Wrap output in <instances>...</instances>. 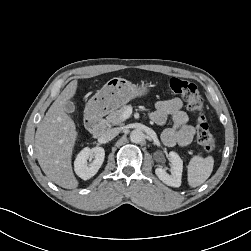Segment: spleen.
I'll list each match as a JSON object with an SVG mask.
<instances>
[{"label": "spleen", "mask_w": 251, "mask_h": 251, "mask_svg": "<svg viewBox=\"0 0 251 251\" xmlns=\"http://www.w3.org/2000/svg\"><path fill=\"white\" fill-rule=\"evenodd\" d=\"M214 160L211 156L203 158L194 156L188 165V183L191 187L203 184L211 175Z\"/></svg>", "instance_id": "1"}]
</instances>
